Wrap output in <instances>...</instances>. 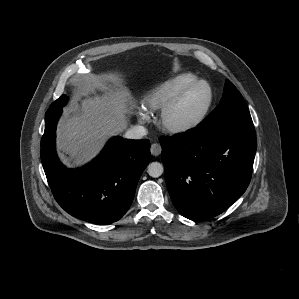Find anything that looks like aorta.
Segmentation results:
<instances>
[{"label":"aorta","instance_id":"obj_1","mask_svg":"<svg viewBox=\"0 0 299 299\" xmlns=\"http://www.w3.org/2000/svg\"><path fill=\"white\" fill-rule=\"evenodd\" d=\"M164 172V167L159 162H152L148 165V174L151 177L157 178L161 176Z\"/></svg>","mask_w":299,"mask_h":299}]
</instances>
